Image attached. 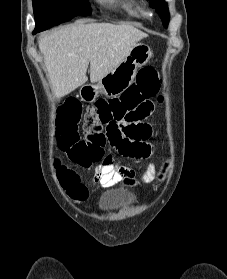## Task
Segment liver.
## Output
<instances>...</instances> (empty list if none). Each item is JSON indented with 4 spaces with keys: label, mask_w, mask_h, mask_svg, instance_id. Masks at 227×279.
Instances as JSON below:
<instances>
[{
    "label": "liver",
    "mask_w": 227,
    "mask_h": 279,
    "mask_svg": "<svg viewBox=\"0 0 227 279\" xmlns=\"http://www.w3.org/2000/svg\"><path fill=\"white\" fill-rule=\"evenodd\" d=\"M147 36L127 23H80L44 35L39 49L54 95L63 97L87 82L89 64L90 81L98 82Z\"/></svg>",
    "instance_id": "6515ba94"
}]
</instances>
